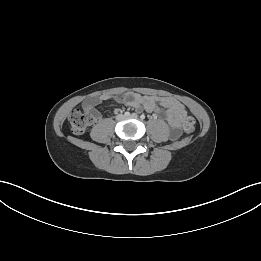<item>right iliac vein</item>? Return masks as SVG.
I'll use <instances>...</instances> for the list:
<instances>
[{
  "instance_id": "63e3f726",
  "label": "right iliac vein",
  "mask_w": 261,
  "mask_h": 261,
  "mask_svg": "<svg viewBox=\"0 0 261 261\" xmlns=\"http://www.w3.org/2000/svg\"><path fill=\"white\" fill-rule=\"evenodd\" d=\"M123 118H124V116L122 114H119V115L116 116V119L118 121L122 120Z\"/></svg>"
}]
</instances>
